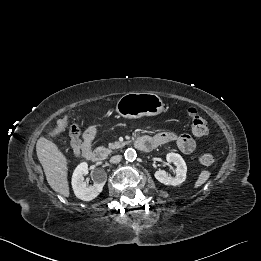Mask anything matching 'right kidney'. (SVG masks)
Segmentation results:
<instances>
[{"mask_svg":"<svg viewBox=\"0 0 261 261\" xmlns=\"http://www.w3.org/2000/svg\"><path fill=\"white\" fill-rule=\"evenodd\" d=\"M87 174L88 164L83 162L76 167L72 176L74 194L83 201L95 199L102 192L106 183V174L102 171H98L93 186L88 187L87 183L84 181V176Z\"/></svg>","mask_w":261,"mask_h":261,"instance_id":"1","label":"right kidney"}]
</instances>
